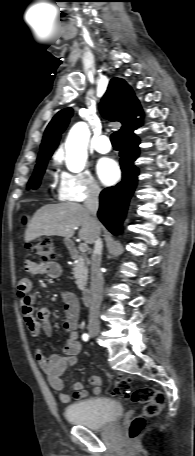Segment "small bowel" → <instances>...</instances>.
<instances>
[{
    "label": "small bowel",
    "instance_id": "obj_1",
    "mask_svg": "<svg viewBox=\"0 0 195 456\" xmlns=\"http://www.w3.org/2000/svg\"><path fill=\"white\" fill-rule=\"evenodd\" d=\"M24 268L28 273L44 275L51 278H58L61 275V266L55 261L33 262L26 259ZM32 282L29 278H21L17 283V295L20 299L24 322L33 337L40 334L50 336L52 326L50 323L49 309L41 307L37 311L34 308V297L31 294ZM64 302V322L63 327L68 332V338L63 346V355L43 353L40 349L36 350L35 357L45 372L50 386L59 392V399L67 404L71 401V396L64 392L65 384L62 376L65 370L77 363V356L81 349L78 339L77 327L79 321V302L73 293L66 292L63 295ZM92 385V394L98 396L101 392V380L98 376H91L89 379ZM73 398L76 400L87 397V391L81 382L74 384Z\"/></svg>",
    "mask_w": 195,
    "mask_h": 456
}]
</instances>
